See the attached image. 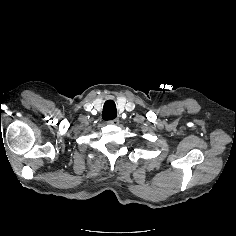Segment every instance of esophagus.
<instances>
[{
  "mask_svg": "<svg viewBox=\"0 0 236 236\" xmlns=\"http://www.w3.org/2000/svg\"><path fill=\"white\" fill-rule=\"evenodd\" d=\"M109 123L113 124V125H118L119 124V119L115 118L113 120H110Z\"/></svg>",
  "mask_w": 236,
  "mask_h": 236,
  "instance_id": "34e87169",
  "label": "esophagus"
}]
</instances>
